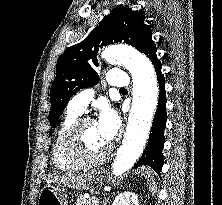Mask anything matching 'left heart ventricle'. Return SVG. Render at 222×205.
I'll return each mask as SVG.
<instances>
[{
    "mask_svg": "<svg viewBox=\"0 0 222 205\" xmlns=\"http://www.w3.org/2000/svg\"><path fill=\"white\" fill-rule=\"evenodd\" d=\"M79 143L83 154L88 157L100 155L108 146V143L101 137L94 122L87 123L83 126Z\"/></svg>",
    "mask_w": 222,
    "mask_h": 205,
    "instance_id": "b2bd125f",
    "label": "left heart ventricle"
}]
</instances>
